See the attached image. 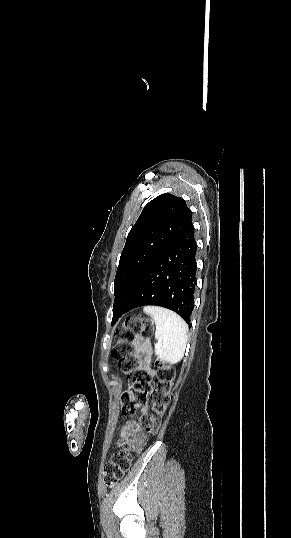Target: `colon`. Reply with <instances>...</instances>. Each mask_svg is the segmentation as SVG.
Returning a JSON list of instances; mask_svg holds the SVG:
<instances>
[{"mask_svg": "<svg viewBox=\"0 0 291 538\" xmlns=\"http://www.w3.org/2000/svg\"><path fill=\"white\" fill-rule=\"evenodd\" d=\"M153 325L145 317L131 318L126 321V327L119 332L121 341L113 350V356L118 360L120 369L127 375L131 389L122 393V412L134 415L137 408L146 406L149 398L152 400L153 413L138 417L137 427L148 435H156L160 426V417L170 402L171 386L175 372L169 366L157 363L154 384L150 382L147 372L143 369L142 359L132 352L130 341L135 332L142 335L152 333ZM132 443L125 442L112 458L105 464L103 479L109 486L115 485L129 469Z\"/></svg>", "mask_w": 291, "mask_h": 538, "instance_id": "5ec220e1", "label": "colon"}]
</instances>
